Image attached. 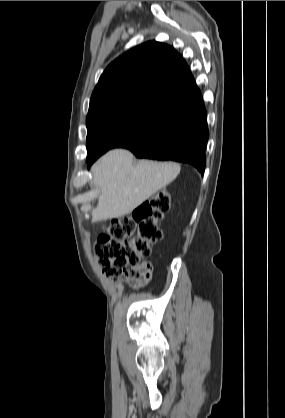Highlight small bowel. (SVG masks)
I'll use <instances>...</instances> for the list:
<instances>
[{
	"label": "small bowel",
	"mask_w": 285,
	"mask_h": 418,
	"mask_svg": "<svg viewBox=\"0 0 285 418\" xmlns=\"http://www.w3.org/2000/svg\"><path fill=\"white\" fill-rule=\"evenodd\" d=\"M144 268V272L139 274L130 270L129 274L124 275V281L130 287H136L147 284L152 279L153 271L151 265L148 263H144Z\"/></svg>",
	"instance_id": "obj_1"
}]
</instances>
